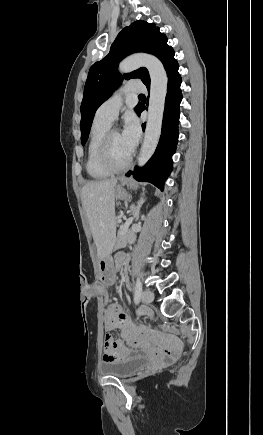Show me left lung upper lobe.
I'll return each instance as SVG.
<instances>
[{"instance_id":"1","label":"left lung upper lobe","mask_w":263,"mask_h":435,"mask_svg":"<svg viewBox=\"0 0 263 435\" xmlns=\"http://www.w3.org/2000/svg\"><path fill=\"white\" fill-rule=\"evenodd\" d=\"M135 52H146L155 55L163 63L165 69L175 60V52L172 47L167 45L166 35L160 33L155 24L146 21H135L130 26L122 29L111 45L108 55L93 64L89 70L81 104L82 145L88 139L96 110L111 96L113 91L121 84L123 78H140L146 86L150 85V76L146 68H139L124 76H121L117 71L118 63L127 55ZM141 106V104L136 106L135 111L137 114Z\"/></svg>"}]
</instances>
